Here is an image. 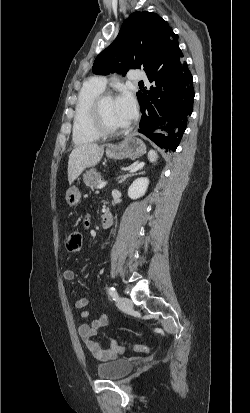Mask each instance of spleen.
<instances>
[{
  "label": "spleen",
  "instance_id": "obj_1",
  "mask_svg": "<svg viewBox=\"0 0 250 413\" xmlns=\"http://www.w3.org/2000/svg\"><path fill=\"white\" fill-rule=\"evenodd\" d=\"M158 158L157 153L154 150H150L148 153V159L150 162H156Z\"/></svg>",
  "mask_w": 250,
  "mask_h": 413
}]
</instances>
